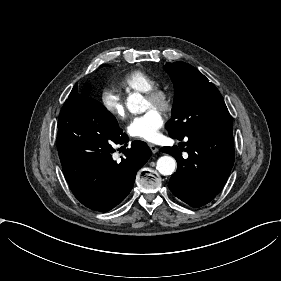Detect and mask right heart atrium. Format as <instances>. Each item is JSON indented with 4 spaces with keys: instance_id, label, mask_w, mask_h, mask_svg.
<instances>
[{
    "instance_id": "1",
    "label": "right heart atrium",
    "mask_w": 281,
    "mask_h": 281,
    "mask_svg": "<svg viewBox=\"0 0 281 281\" xmlns=\"http://www.w3.org/2000/svg\"><path fill=\"white\" fill-rule=\"evenodd\" d=\"M103 109L110 115L124 117L125 106L120 94L112 87H104L100 93Z\"/></svg>"
}]
</instances>
